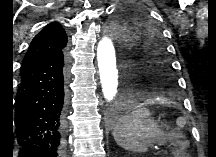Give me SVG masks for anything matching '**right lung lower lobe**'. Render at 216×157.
<instances>
[{
    "mask_svg": "<svg viewBox=\"0 0 216 157\" xmlns=\"http://www.w3.org/2000/svg\"><path fill=\"white\" fill-rule=\"evenodd\" d=\"M65 82L63 52L21 74L12 117L16 157H62Z\"/></svg>",
    "mask_w": 216,
    "mask_h": 157,
    "instance_id": "obj_1",
    "label": "right lung lower lobe"
}]
</instances>
